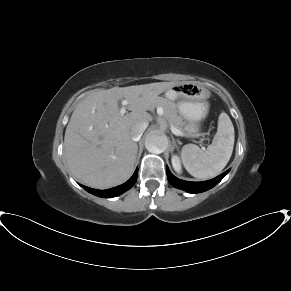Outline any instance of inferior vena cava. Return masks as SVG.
Here are the masks:
<instances>
[{
	"label": "inferior vena cava",
	"mask_w": 291,
	"mask_h": 291,
	"mask_svg": "<svg viewBox=\"0 0 291 291\" xmlns=\"http://www.w3.org/2000/svg\"><path fill=\"white\" fill-rule=\"evenodd\" d=\"M147 123H138L131 128V136L134 141H139L145 129L147 128Z\"/></svg>",
	"instance_id": "inferior-vena-cava-1"
}]
</instances>
